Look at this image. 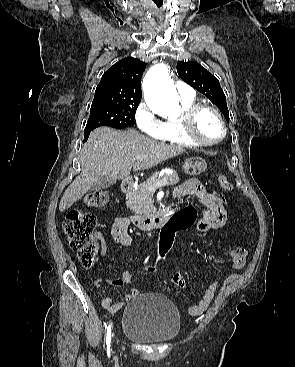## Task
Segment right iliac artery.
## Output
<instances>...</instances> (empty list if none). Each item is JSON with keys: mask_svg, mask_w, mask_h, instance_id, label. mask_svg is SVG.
I'll return each instance as SVG.
<instances>
[{"mask_svg": "<svg viewBox=\"0 0 295 367\" xmlns=\"http://www.w3.org/2000/svg\"><path fill=\"white\" fill-rule=\"evenodd\" d=\"M106 344H107V351L109 352L111 344V324H109L107 327Z\"/></svg>", "mask_w": 295, "mask_h": 367, "instance_id": "1", "label": "right iliac artery"}]
</instances>
